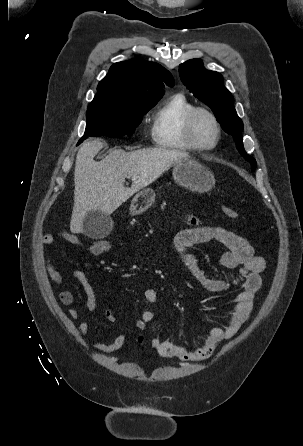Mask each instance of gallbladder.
<instances>
[{
	"mask_svg": "<svg viewBox=\"0 0 303 446\" xmlns=\"http://www.w3.org/2000/svg\"><path fill=\"white\" fill-rule=\"evenodd\" d=\"M113 221L105 213L88 212L83 220V233L93 239L106 237L112 230Z\"/></svg>",
	"mask_w": 303,
	"mask_h": 446,
	"instance_id": "gallbladder-1",
	"label": "gallbladder"
}]
</instances>
